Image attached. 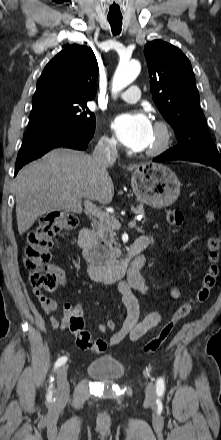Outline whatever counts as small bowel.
<instances>
[{"instance_id": "obj_1", "label": "small bowel", "mask_w": 221, "mask_h": 440, "mask_svg": "<svg viewBox=\"0 0 221 440\" xmlns=\"http://www.w3.org/2000/svg\"><path fill=\"white\" fill-rule=\"evenodd\" d=\"M140 238L149 243V239L147 237L143 236ZM142 258L145 259L144 257ZM60 278L62 283L66 285L67 282L62 273H60ZM118 289L122 296L123 304L126 308V317L120 330L114 332L110 336L109 343L111 346L119 344L126 338H128L130 341H136L148 331L157 327L162 321V314L157 311L150 312L144 318H140V304L136 293L146 295L148 293V287L143 276L139 271H136L135 268H132L127 277L119 282ZM32 292L45 314L49 316L51 326L54 329H60L62 331L67 330L69 327L70 315L75 305L68 302L59 305L56 300L45 296L42 292L36 289H33ZM172 296L177 299L184 297V295L176 287L172 289ZM58 310H61L62 312L60 319L55 317V313ZM106 328L108 327H105V325L99 326V330L102 333L105 332Z\"/></svg>"}]
</instances>
